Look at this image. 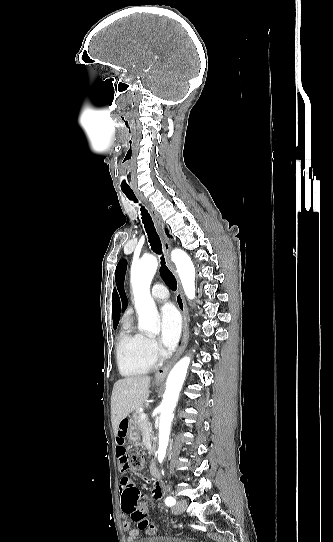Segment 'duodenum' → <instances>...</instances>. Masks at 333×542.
I'll return each mask as SVG.
<instances>
[{
    "label": "duodenum",
    "instance_id": "1",
    "mask_svg": "<svg viewBox=\"0 0 333 542\" xmlns=\"http://www.w3.org/2000/svg\"><path fill=\"white\" fill-rule=\"evenodd\" d=\"M150 473L153 477H157L158 476V469L156 467V465L154 463H151L150 464Z\"/></svg>",
    "mask_w": 333,
    "mask_h": 542
}]
</instances>
